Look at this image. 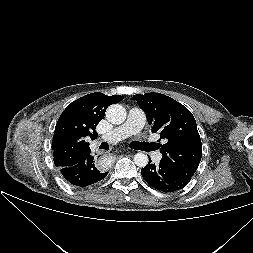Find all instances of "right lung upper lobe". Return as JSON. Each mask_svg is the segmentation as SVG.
<instances>
[{
  "instance_id": "cb5924a9",
  "label": "right lung upper lobe",
  "mask_w": 253,
  "mask_h": 253,
  "mask_svg": "<svg viewBox=\"0 0 253 253\" xmlns=\"http://www.w3.org/2000/svg\"><path fill=\"white\" fill-rule=\"evenodd\" d=\"M122 100L120 95L107 96L97 92L83 96L66 107L58 119L52 140L54 164L59 169L91 157L85 137L96 139V126L103 119L107 107Z\"/></svg>"
}]
</instances>
